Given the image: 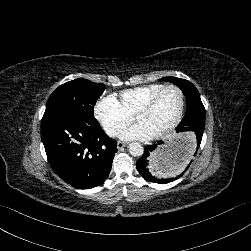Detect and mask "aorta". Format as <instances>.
Returning a JSON list of instances; mask_svg holds the SVG:
<instances>
[{
	"instance_id": "1",
	"label": "aorta",
	"mask_w": 251,
	"mask_h": 251,
	"mask_svg": "<svg viewBox=\"0 0 251 251\" xmlns=\"http://www.w3.org/2000/svg\"><path fill=\"white\" fill-rule=\"evenodd\" d=\"M129 153L132 156H141L143 155L144 148L138 142H132L128 146Z\"/></svg>"
}]
</instances>
